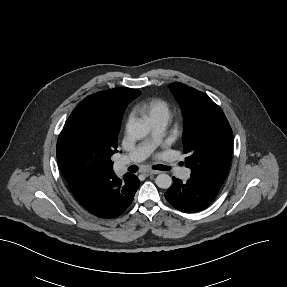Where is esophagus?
Returning <instances> with one entry per match:
<instances>
[{"label": "esophagus", "mask_w": 287, "mask_h": 287, "mask_svg": "<svg viewBox=\"0 0 287 287\" xmlns=\"http://www.w3.org/2000/svg\"><path fill=\"white\" fill-rule=\"evenodd\" d=\"M159 171H155V170H145L143 172L144 175L149 176V175H153V174H159Z\"/></svg>", "instance_id": "esophagus-1"}]
</instances>
